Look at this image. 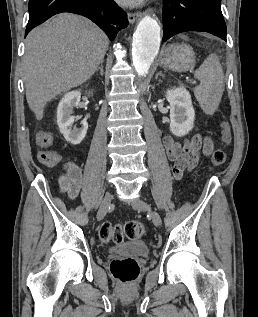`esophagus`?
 <instances>
[{
    "mask_svg": "<svg viewBox=\"0 0 258 317\" xmlns=\"http://www.w3.org/2000/svg\"><path fill=\"white\" fill-rule=\"evenodd\" d=\"M141 18V12H136V13H128V20L129 22L135 23L137 20Z\"/></svg>",
    "mask_w": 258,
    "mask_h": 317,
    "instance_id": "1",
    "label": "esophagus"
}]
</instances>
